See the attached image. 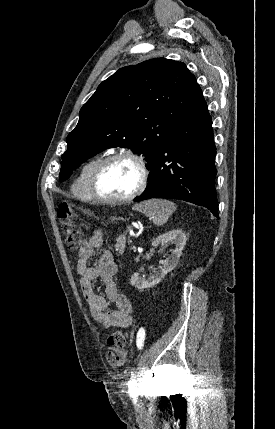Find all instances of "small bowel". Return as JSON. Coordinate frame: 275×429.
Segmentation results:
<instances>
[{"instance_id": "obj_1", "label": "small bowel", "mask_w": 275, "mask_h": 429, "mask_svg": "<svg viewBox=\"0 0 275 429\" xmlns=\"http://www.w3.org/2000/svg\"><path fill=\"white\" fill-rule=\"evenodd\" d=\"M103 244V233L96 230L90 239L84 242L79 250L77 272L80 275V287L93 318L106 328H127L133 322V307L130 299L118 292L114 276L117 265L110 251L104 250L95 266L88 261L95 249ZM101 279L105 286V296L94 291L93 281ZM115 304L116 309H110Z\"/></svg>"}]
</instances>
